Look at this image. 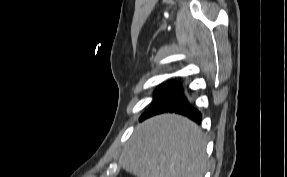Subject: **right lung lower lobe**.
I'll return each instance as SVG.
<instances>
[{"label": "right lung lower lobe", "mask_w": 287, "mask_h": 177, "mask_svg": "<svg viewBox=\"0 0 287 177\" xmlns=\"http://www.w3.org/2000/svg\"><path fill=\"white\" fill-rule=\"evenodd\" d=\"M154 93L157 95V98L141 116L140 120L159 113L175 112L200 123L202 119L201 113L188 102L182 86L177 81L170 80L161 84Z\"/></svg>", "instance_id": "1"}]
</instances>
